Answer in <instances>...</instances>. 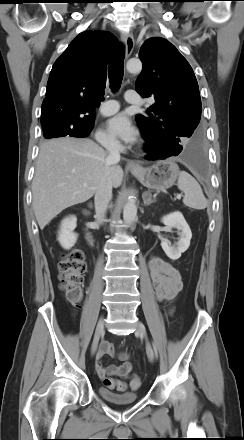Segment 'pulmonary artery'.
<instances>
[{"label": "pulmonary artery", "instance_id": "e3ab8cb5", "mask_svg": "<svg viewBox=\"0 0 244 440\" xmlns=\"http://www.w3.org/2000/svg\"><path fill=\"white\" fill-rule=\"evenodd\" d=\"M125 100L131 104H141L142 100L140 99L139 94L136 91L129 90L125 94ZM119 110V103L115 100H108L104 102L100 107V112L103 115H112Z\"/></svg>", "mask_w": 244, "mask_h": 440}]
</instances>
